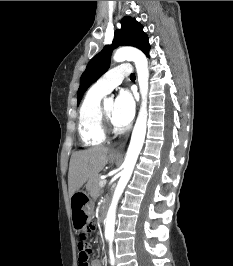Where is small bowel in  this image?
I'll use <instances>...</instances> for the list:
<instances>
[{"label": "small bowel", "mask_w": 233, "mask_h": 266, "mask_svg": "<svg viewBox=\"0 0 233 266\" xmlns=\"http://www.w3.org/2000/svg\"><path fill=\"white\" fill-rule=\"evenodd\" d=\"M87 266H102L99 259H93L91 262H88Z\"/></svg>", "instance_id": "obj_1"}]
</instances>
